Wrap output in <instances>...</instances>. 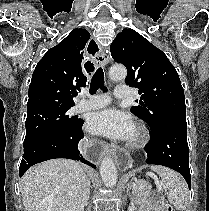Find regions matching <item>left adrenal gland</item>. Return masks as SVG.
<instances>
[{"label":"left adrenal gland","instance_id":"left-adrenal-gland-1","mask_svg":"<svg viewBox=\"0 0 209 211\" xmlns=\"http://www.w3.org/2000/svg\"><path fill=\"white\" fill-rule=\"evenodd\" d=\"M130 189H131V184H130V183H127V185H126V193H127V195H128L130 198H132V195H131V193H130Z\"/></svg>","mask_w":209,"mask_h":211}]
</instances>
